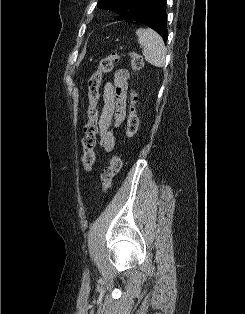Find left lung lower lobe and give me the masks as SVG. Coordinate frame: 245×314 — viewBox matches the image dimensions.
<instances>
[{
  "label": "left lung lower lobe",
  "mask_w": 245,
  "mask_h": 314,
  "mask_svg": "<svg viewBox=\"0 0 245 314\" xmlns=\"http://www.w3.org/2000/svg\"><path fill=\"white\" fill-rule=\"evenodd\" d=\"M129 20L142 23L155 31L167 40V14L166 0H145L138 10Z\"/></svg>",
  "instance_id": "1"
}]
</instances>
